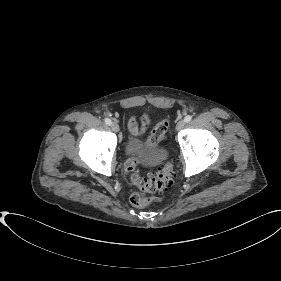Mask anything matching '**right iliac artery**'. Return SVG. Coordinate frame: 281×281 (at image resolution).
I'll use <instances>...</instances> for the list:
<instances>
[{"label":"right iliac artery","mask_w":281,"mask_h":281,"mask_svg":"<svg viewBox=\"0 0 281 281\" xmlns=\"http://www.w3.org/2000/svg\"><path fill=\"white\" fill-rule=\"evenodd\" d=\"M104 122H105L107 125H111V123H112L109 118H106V119L104 120Z\"/></svg>","instance_id":"1"}]
</instances>
